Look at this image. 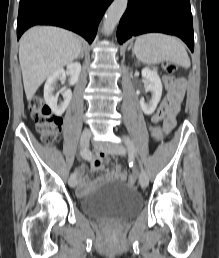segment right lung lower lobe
Listing matches in <instances>:
<instances>
[{
    "label": "right lung lower lobe",
    "mask_w": 219,
    "mask_h": 258,
    "mask_svg": "<svg viewBox=\"0 0 219 258\" xmlns=\"http://www.w3.org/2000/svg\"><path fill=\"white\" fill-rule=\"evenodd\" d=\"M113 0H20L17 39L34 25L74 31L92 43L98 24Z\"/></svg>",
    "instance_id": "1"
}]
</instances>
